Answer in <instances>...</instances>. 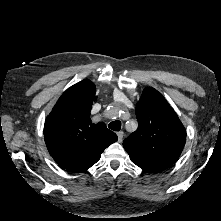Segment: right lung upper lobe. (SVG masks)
Here are the masks:
<instances>
[{
	"label": "right lung upper lobe",
	"instance_id": "cb5924a9",
	"mask_svg": "<svg viewBox=\"0 0 221 221\" xmlns=\"http://www.w3.org/2000/svg\"><path fill=\"white\" fill-rule=\"evenodd\" d=\"M95 85L85 79L67 89L44 125L49 153L66 170L95 163L117 135L105 123L92 124L90 111L97 99Z\"/></svg>",
	"mask_w": 221,
	"mask_h": 221
}]
</instances>
